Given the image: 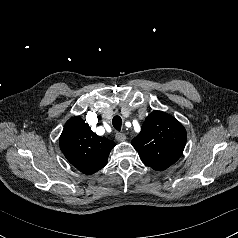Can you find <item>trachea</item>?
Masks as SVG:
<instances>
[{"instance_id": "3493384b", "label": "trachea", "mask_w": 238, "mask_h": 238, "mask_svg": "<svg viewBox=\"0 0 238 238\" xmlns=\"http://www.w3.org/2000/svg\"><path fill=\"white\" fill-rule=\"evenodd\" d=\"M112 124H113V127L120 131L121 130V126H122V119L120 116H115L113 119H112Z\"/></svg>"}]
</instances>
